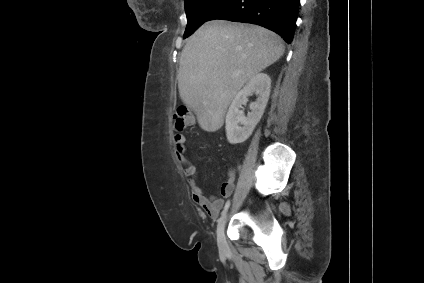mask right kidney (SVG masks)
Listing matches in <instances>:
<instances>
[{"label":"right kidney","mask_w":424,"mask_h":283,"mask_svg":"<svg viewBox=\"0 0 424 283\" xmlns=\"http://www.w3.org/2000/svg\"><path fill=\"white\" fill-rule=\"evenodd\" d=\"M270 89V77L266 73H258L236 94L226 114V136L229 143H242L250 137L264 113ZM252 93L257 95V100L251 103V112L245 116L241 108Z\"/></svg>","instance_id":"obj_1"}]
</instances>
